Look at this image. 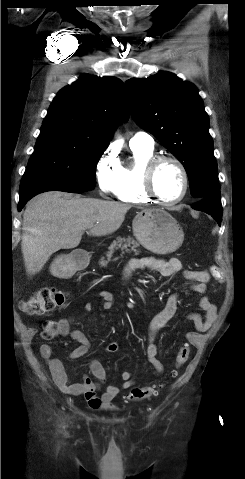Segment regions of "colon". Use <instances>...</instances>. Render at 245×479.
<instances>
[{"label": "colon", "instance_id": "obj_1", "mask_svg": "<svg viewBox=\"0 0 245 479\" xmlns=\"http://www.w3.org/2000/svg\"><path fill=\"white\" fill-rule=\"evenodd\" d=\"M211 273L214 277L219 278L221 272L219 268L211 267ZM70 293L66 290L56 287H44L38 289L32 296L21 302L22 311L30 316H39L49 313L65 304ZM59 334L57 321L47 320L42 325V337L51 339ZM190 349L187 344H183L177 351L175 356V369L171 372L172 377H177L178 369L181 368L188 360ZM158 393L156 386H146L133 389L127 399L130 401L149 399Z\"/></svg>", "mask_w": 245, "mask_h": 479}]
</instances>
